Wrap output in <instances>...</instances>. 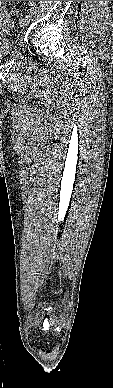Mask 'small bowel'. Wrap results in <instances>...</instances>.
<instances>
[{
	"label": "small bowel",
	"mask_w": 113,
	"mask_h": 388,
	"mask_svg": "<svg viewBox=\"0 0 113 388\" xmlns=\"http://www.w3.org/2000/svg\"><path fill=\"white\" fill-rule=\"evenodd\" d=\"M5 16V11H4V7H3V2L0 1V20L3 19Z\"/></svg>",
	"instance_id": "small-bowel-1"
}]
</instances>
